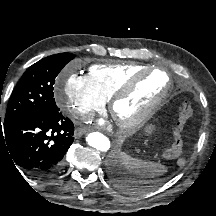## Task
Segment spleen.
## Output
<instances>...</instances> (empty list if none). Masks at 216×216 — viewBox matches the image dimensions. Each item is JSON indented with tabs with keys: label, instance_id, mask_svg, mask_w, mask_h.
Wrapping results in <instances>:
<instances>
[{
	"label": "spleen",
	"instance_id": "obj_1",
	"mask_svg": "<svg viewBox=\"0 0 216 216\" xmlns=\"http://www.w3.org/2000/svg\"><path fill=\"white\" fill-rule=\"evenodd\" d=\"M121 162L131 174L140 177L152 178L166 172V168L159 163L133 158L126 153L121 154Z\"/></svg>",
	"mask_w": 216,
	"mask_h": 216
}]
</instances>
